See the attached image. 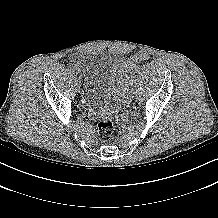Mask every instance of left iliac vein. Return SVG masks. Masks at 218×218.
Here are the masks:
<instances>
[{"label":"left iliac vein","instance_id":"4c4485c4","mask_svg":"<svg viewBox=\"0 0 218 218\" xmlns=\"http://www.w3.org/2000/svg\"><path fill=\"white\" fill-rule=\"evenodd\" d=\"M127 94L130 95V96H132V91H131V90H128V91H127Z\"/></svg>","mask_w":218,"mask_h":218}]
</instances>
